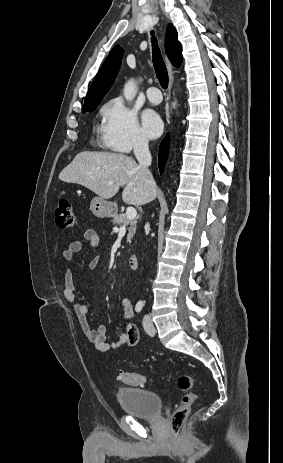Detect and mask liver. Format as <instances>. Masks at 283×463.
Returning <instances> with one entry per match:
<instances>
[{
    "mask_svg": "<svg viewBox=\"0 0 283 463\" xmlns=\"http://www.w3.org/2000/svg\"><path fill=\"white\" fill-rule=\"evenodd\" d=\"M67 183L82 185L103 199H110L124 186L122 199L126 204L144 205L156 197V184L145 182V173L131 157L121 153H78L59 174ZM113 182L112 185H108Z\"/></svg>",
    "mask_w": 283,
    "mask_h": 463,
    "instance_id": "obj_1",
    "label": "liver"
}]
</instances>
